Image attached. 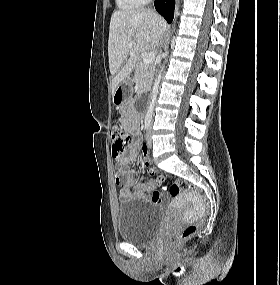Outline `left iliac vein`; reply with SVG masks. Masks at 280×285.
Returning a JSON list of instances; mask_svg holds the SVG:
<instances>
[{
	"label": "left iliac vein",
	"mask_w": 280,
	"mask_h": 285,
	"mask_svg": "<svg viewBox=\"0 0 280 285\" xmlns=\"http://www.w3.org/2000/svg\"><path fill=\"white\" fill-rule=\"evenodd\" d=\"M152 125L149 126V129L147 131V134H146V141L148 143V146H152Z\"/></svg>",
	"instance_id": "1"
}]
</instances>
